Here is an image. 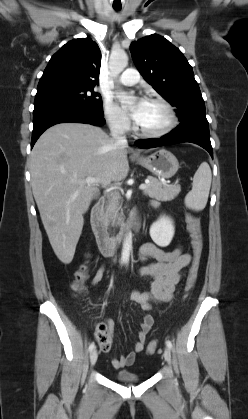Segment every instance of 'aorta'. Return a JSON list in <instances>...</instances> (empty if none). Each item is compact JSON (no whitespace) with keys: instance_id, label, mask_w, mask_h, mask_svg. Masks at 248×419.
Wrapping results in <instances>:
<instances>
[{"instance_id":"762f6f07","label":"aorta","mask_w":248,"mask_h":419,"mask_svg":"<svg viewBox=\"0 0 248 419\" xmlns=\"http://www.w3.org/2000/svg\"><path fill=\"white\" fill-rule=\"evenodd\" d=\"M128 56L124 52L113 53L109 59V69L112 77L116 78L119 74L127 67ZM132 244V234L128 233L123 242V248L121 253V261L123 263L129 262L130 251Z\"/></svg>"}]
</instances>
